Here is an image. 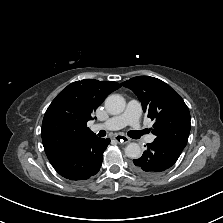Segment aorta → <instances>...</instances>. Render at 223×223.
Instances as JSON below:
<instances>
[{
	"label": "aorta",
	"mask_w": 223,
	"mask_h": 223,
	"mask_svg": "<svg viewBox=\"0 0 223 223\" xmlns=\"http://www.w3.org/2000/svg\"><path fill=\"white\" fill-rule=\"evenodd\" d=\"M126 106L125 99L119 94L109 95L105 100V107L111 114H120L124 111ZM125 154L131 159H138L141 157L142 151L138 143H129L125 148Z\"/></svg>",
	"instance_id": "aorta-1"
}]
</instances>
